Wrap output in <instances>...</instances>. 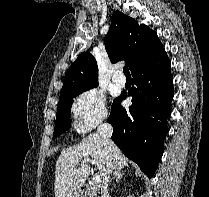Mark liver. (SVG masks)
Here are the masks:
<instances>
[{
    "instance_id": "6515ba94",
    "label": "liver",
    "mask_w": 209,
    "mask_h": 197,
    "mask_svg": "<svg viewBox=\"0 0 209 197\" xmlns=\"http://www.w3.org/2000/svg\"><path fill=\"white\" fill-rule=\"evenodd\" d=\"M84 159H91L100 171L101 178L110 160L116 170L128 166V160L120 149L113 144L109 151L107 145L97 134L84 137L82 141L73 147L63 149L56 161L55 167V197H71L90 175L91 169L88 163L81 164Z\"/></svg>"
}]
</instances>
